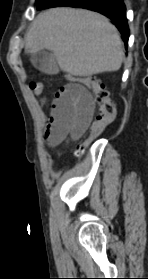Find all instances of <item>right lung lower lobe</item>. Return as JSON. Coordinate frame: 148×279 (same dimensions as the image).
Listing matches in <instances>:
<instances>
[{
  "label": "right lung lower lobe",
  "mask_w": 148,
  "mask_h": 279,
  "mask_svg": "<svg viewBox=\"0 0 148 279\" xmlns=\"http://www.w3.org/2000/svg\"><path fill=\"white\" fill-rule=\"evenodd\" d=\"M58 6L85 8L107 16L121 32L125 46L128 45L129 27L123 0H49L43 9Z\"/></svg>",
  "instance_id": "98d812e1"
}]
</instances>
